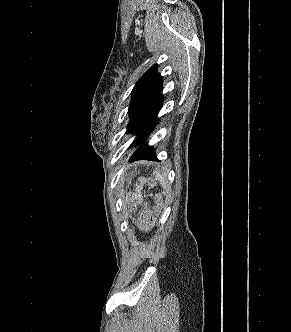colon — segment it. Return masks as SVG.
<instances>
[{"instance_id": "1", "label": "colon", "mask_w": 291, "mask_h": 332, "mask_svg": "<svg viewBox=\"0 0 291 332\" xmlns=\"http://www.w3.org/2000/svg\"><path fill=\"white\" fill-rule=\"evenodd\" d=\"M143 220H144L145 225H150L151 224L152 215H151V212L149 210L144 211Z\"/></svg>"}]
</instances>
